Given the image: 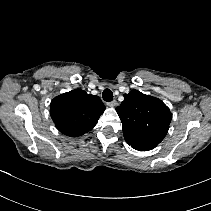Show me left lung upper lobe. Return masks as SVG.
Instances as JSON below:
<instances>
[{"label": "left lung upper lobe", "mask_w": 211, "mask_h": 211, "mask_svg": "<svg viewBox=\"0 0 211 211\" xmlns=\"http://www.w3.org/2000/svg\"><path fill=\"white\" fill-rule=\"evenodd\" d=\"M116 111L126 142L139 151L155 148L166 136L172 119L169 108L160 99L137 90L124 94Z\"/></svg>", "instance_id": "obj_1"}]
</instances>
